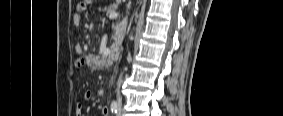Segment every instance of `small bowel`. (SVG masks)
<instances>
[{"mask_svg":"<svg viewBox=\"0 0 283 116\" xmlns=\"http://www.w3.org/2000/svg\"><path fill=\"white\" fill-rule=\"evenodd\" d=\"M72 22H73V24L75 26H80L82 24L81 15L79 13H75L73 15V17H72ZM74 49H75V52L78 55L82 56L84 54V50H83L82 46L79 43H77L75 45ZM85 65L93 66L94 65V60L92 58H90V57L82 56L76 62V66H78V67L85 66ZM93 97H94V93L91 90L86 91L85 94H84V98L86 100H91V99H93ZM76 114L77 115H84L83 108H82L81 105L77 106ZM109 114H110L109 108L107 106H103L101 108V115L102 116H108Z\"/></svg>","mask_w":283,"mask_h":116,"instance_id":"obj_1","label":"small bowel"}]
</instances>
